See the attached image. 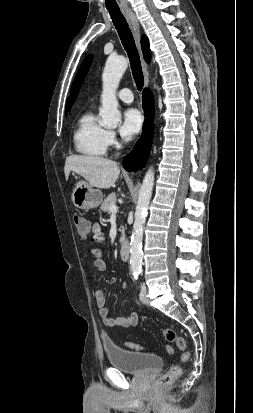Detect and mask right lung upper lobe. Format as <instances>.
<instances>
[{"mask_svg":"<svg viewBox=\"0 0 253 413\" xmlns=\"http://www.w3.org/2000/svg\"><path fill=\"white\" fill-rule=\"evenodd\" d=\"M141 45H142L144 58L147 62H149L151 58V53H150V48H149V41L145 35L142 36Z\"/></svg>","mask_w":253,"mask_h":413,"instance_id":"cb5924a9","label":"right lung upper lobe"}]
</instances>
